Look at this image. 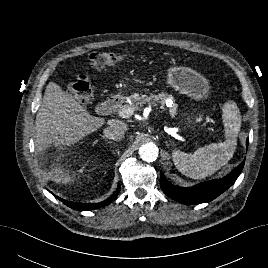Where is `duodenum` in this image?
<instances>
[{"label":"duodenum","instance_id":"duodenum-1","mask_svg":"<svg viewBox=\"0 0 268 268\" xmlns=\"http://www.w3.org/2000/svg\"><path fill=\"white\" fill-rule=\"evenodd\" d=\"M120 105V99L117 95H111L98 106V111L102 115H109Z\"/></svg>","mask_w":268,"mask_h":268}]
</instances>
